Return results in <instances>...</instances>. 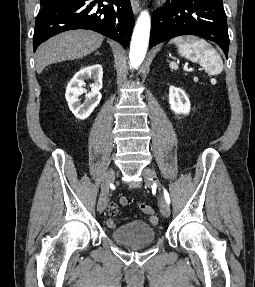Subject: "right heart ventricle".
<instances>
[{"label": "right heart ventricle", "instance_id": "right-heart-ventricle-1", "mask_svg": "<svg viewBox=\"0 0 255 287\" xmlns=\"http://www.w3.org/2000/svg\"><path fill=\"white\" fill-rule=\"evenodd\" d=\"M112 39H118V38H112ZM103 48H124V47H103Z\"/></svg>", "mask_w": 255, "mask_h": 287}]
</instances>
